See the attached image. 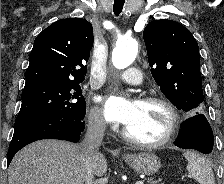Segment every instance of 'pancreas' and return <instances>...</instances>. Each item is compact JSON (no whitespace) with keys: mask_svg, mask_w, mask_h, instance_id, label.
<instances>
[{"mask_svg":"<svg viewBox=\"0 0 224 184\" xmlns=\"http://www.w3.org/2000/svg\"><path fill=\"white\" fill-rule=\"evenodd\" d=\"M150 184H164V183H159V181H152Z\"/></svg>","mask_w":224,"mask_h":184,"instance_id":"cf45deb5","label":"pancreas"}]
</instances>
